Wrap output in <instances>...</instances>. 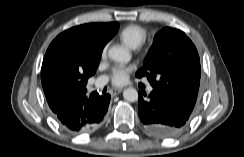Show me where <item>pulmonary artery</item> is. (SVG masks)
<instances>
[{
	"label": "pulmonary artery",
	"mask_w": 244,
	"mask_h": 157,
	"mask_svg": "<svg viewBox=\"0 0 244 157\" xmlns=\"http://www.w3.org/2000/svg\"><path fill=\"white\" fill-rule=\"evenodd\" d=\"M106 83V78L105 77H101L99 78L96 82H95V88H101L105 85ZM148 90L151 91L152 90V87L149 86L148 87Z\"/></svg>",
	"instance_id": "1"
}]
</instances>
